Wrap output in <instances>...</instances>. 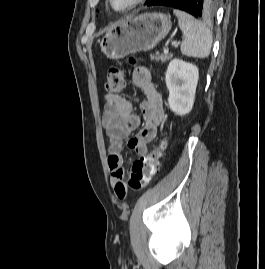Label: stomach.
I'll return each instance as SVG.
<instances>
[{
	"label": "stomach",
	"instance_id": "0dacf381",
	"mask_svg": "<svg viewBox=\"0 0 265 269\" xmlns=\"http://www.w3.org/2000/svg\"><path fill=\"white\" fill-rule=\"evenodd\" d=\"M172 26L169 15L159 12L144 13L127 19L111 28L100 42L101 51L111 59L153 49Z\"/></svg>",
	"mask_w": 265,
	"mask_h": 269
}]
</instances>
